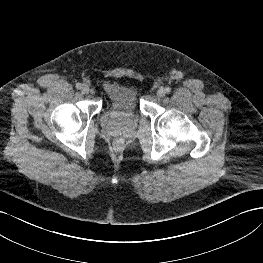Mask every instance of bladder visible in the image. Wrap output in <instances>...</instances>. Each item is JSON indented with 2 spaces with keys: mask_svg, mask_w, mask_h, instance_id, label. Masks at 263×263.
Listing matches in <instances>:
<instances>
[{
  "mask_svg": "<svg viewBox=\"0 0 263 263\" xmlns=\"http://www.w3.org/2000/svg\"><path fill=\"white\" fill-rule=\"evenodd\" d=\"M106 113L114 121L132 119L138 110L139 88L132 82L107 81L103 85Z\"/></svg>",
  "mask_w": 263,
  "mask_h": 263,
  "instance_id": "31cf9c89",
  "label": "bladder"
}]
</instances>
